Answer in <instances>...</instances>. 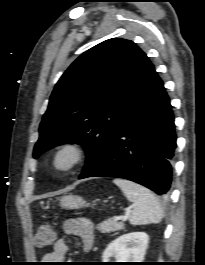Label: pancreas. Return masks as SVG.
<instances>
[{
	"label": "pancreas",
	"mask_w": 205,
	"mask_h": 265,
	"mask_svg": "<svg viewBox=\"0 0 205 265\" xmlns=\"http://www.w3.org/2000/svg\"><path fill=\"white\" fill-rule=\"evenodd\" d=\"M97 229L102 233H111L124 229L122 222H117L114 219H107L97 225Z\"/></svg>",
	"instance_id": "pancreas-1"
}]
</instances>
